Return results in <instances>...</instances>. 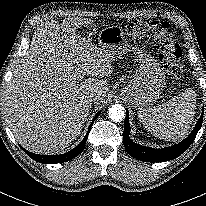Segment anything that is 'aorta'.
<instances>
[{
    "label": "aorta",
    "mask_w": 206,
    "mask_h": 206,
    "mask_svg": "<svg viewBox=\"0 0 206 206\" xmlns=\"http://www.w3.org/2000/svg\"><path fill=\"white\" fill-rule=\"evenodd\" d=\"M109 117L112 121L120 122L125 117V108L121 104H114L109 108Z\"/></svg>",
    "instance_id": "aorta-1"
}]
</instances>
